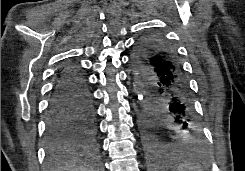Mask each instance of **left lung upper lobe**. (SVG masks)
<instances>
[{"instance_id":"obj_1","label":"left lung upper lobe","mask_w":245,"mask_h":171,"mask_svg":"<svg viewBox=\"0 0 245 171\" xmlns=\"http://www.w3.org/2000/svg\"><path fill=\"white\" fill-rule=\"evenodd\" d=\"M162 44L169 43L159 34H146L142 36L135 46L133 62L151 61L150 56Z\"/></svg>"}]
</instances>
